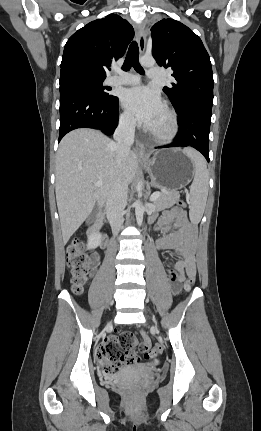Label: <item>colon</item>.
<instances>
[{"instance_id": "1", "label": "colon", "mask_w": 261, "mask_h": 431, "mask_svg": "<svg viewBox=\"0 0 261 431\" xmlns=\"http://www.w3.org/2000/svg\"><path fill=\"white\" fill-rule=\"evenodd\" d=\"M179 206H186V202L179 201ZM66 261L69 268L72 289L80 294L87 282L89 274V257L84 244L77 238L72 239L66 246ZM194 275L186 277L184 288L190 290L194 283ZM137 341L130 332H123L117 336L109 338L100 348L99 354L102 359V368L107 374H115L125 365H132L139 361V356L134 351ZM143 345V343L140 345ZM162 343L150 348L145 355L148 362L161 364V359H156L160 351H164Z\"/></svg>"}]
</instances>
